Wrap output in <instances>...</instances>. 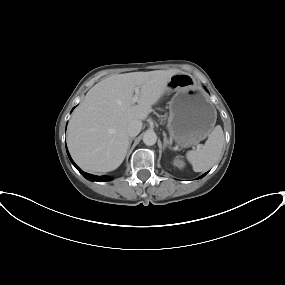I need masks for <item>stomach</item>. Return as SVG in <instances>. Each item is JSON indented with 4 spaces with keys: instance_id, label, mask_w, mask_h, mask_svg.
Here are the masks:
<instances>
[{
    "instance_id": "stomach-1",
    "label": "stomach",
    "mask_w": 285,
    "mask_h": 285,
    "mask_svg": "<svg viewBox=\"0 0 285 285\" xmlns=\"http://www.w3.org/2000/svg\"><path fill=\"white\" fill-rule=\"evenodd\" d=\"M168 84V91L175 92L169 103L168 132L178 146L190 147L209 136L216 123V109L189 74H177Z\"/></svg>"
}]
</instances>
